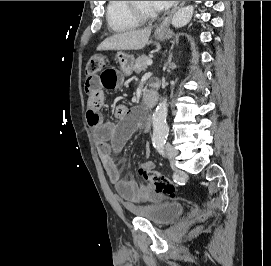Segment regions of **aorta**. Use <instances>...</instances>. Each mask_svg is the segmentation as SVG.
<instances>
[{
	"label": "aorta",
	"mask_w": 271,
	"mask_h": 266,
	"mask_svg": "<svg viewBox=\"0 0 271 266\" xmlns=\"http://www.w3.org/2000/svg\"><path fill=\"white\" fill-rule=\"evenodd\" d=\"M193 6H186L180 8L172 18V25L175 28L185 26L190 22L193 16ZM168 111L167 99L164 98L157 106L155 113L153 114V140H164L169 132V128L166 124V117Z\"/></svg>",
	"instance_id": "aorta-1"
}]
</instances>
